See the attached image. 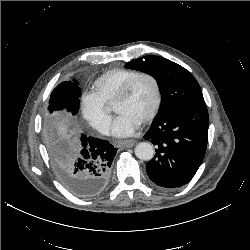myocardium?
I'll return each instance as SVG.
<instances>
[{
	"mask_svg": "<svg viewBox=\"0 0 250 250\" xmlns=\"http://www.w3.org/2000/svg\"><path fill=\"white\" fill-rule=\"evenodd\" d=\"M141 78H148L151 80V82L154 85L155 94H156V102H155V106H154L152 112L141 122V124L145 125V124L152 122L157 117V115L160 112V109L162 106V101H163L162 88H161L159 80L157 79V77L154 74L149 73V72H140L137 75H135L134 77H132L121 88V90L117 94V96L114 100L113 106L115 107L116 105L127 100L128 97L130 96L135 84Z\"/></svg>",
	"mask_w": 250,
	"mask_h": 250,
	"instance_id": "1",
	"label": "myocardium"
}]
</instances>
